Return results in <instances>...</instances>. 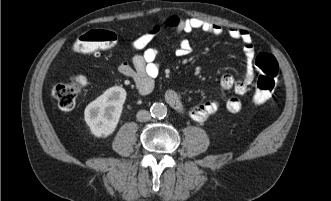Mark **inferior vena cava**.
<instances>
[{
    "instance_id": "602c4592",
    "label": "inferior vena cava",
    "mask_w": 331,
    "mask_h": 201,
    "mask_svg": "<svg viewBox=\"0 0 331 201\" xmlns=\"http://www.w3.org/2000/svg\"><path fill=\"white\" fill-rule=\"evenodd\" d=\"M136 117H137V120L140 122H146V121L151 120V114L147 110H139L137 112Z\"/></svg>"
}]
</instances>
